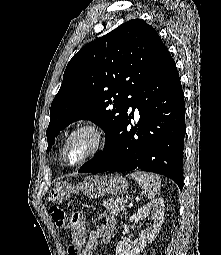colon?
Masks as SVG:
<instances>
[{
	"instance_id": "colon-1",
	"label": "colon",
	"mask_w": 221,
	"mask_h": 255,
	"mask_svg": "<svg viewBox=\"0 0 221 255\" xmlns=\"http://www.w3.org/2000/svg\"><path fill=\"white\" fill-rule=\"evenodd\" d=\"M51 218L59 229H70L72 232L79 233L84 229V215L80 212L68 217L66 212L58 206L50 207Z\"/></svg>"
}]
</instances>
